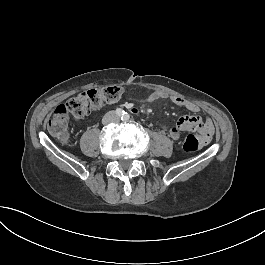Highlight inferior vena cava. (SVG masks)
I'll return each mask as SVG.
<instances>
[{"mask_svg": "<svg viewBox=\"0 0 265 265\" xmlns=\"http://www.w3.org/2000/svg\"><path fill=\"white\" fill-rule=\"evenodd\" d=\"M115 117L119 120L118 116L115 114Z\"/></svg>", "mask_w": 265, "mask_h": 265, "instance_id": "inferior-vena-cava-1", "label": "inferior vena cava"}]
</instances>
